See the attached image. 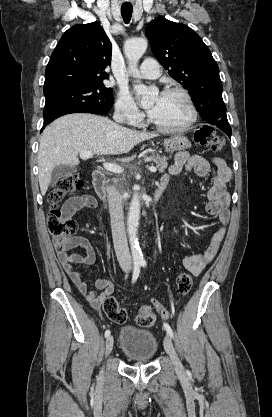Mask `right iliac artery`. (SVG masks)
<instances>
[{"mask_svg": "<svg viewBox=\"0 0 272 417\" xmlns=\"http://www.w3.org/2000/svg\"><path fill=\"white\" fill-rule=\"evenodd\" d=\"M140 274V263L134 264L133 276H132V284H134L139 277ZM110 335V330L105 331V337L107 338Z\"/></svg>", "mask_w": 272, "mask_h": 417, "instance_id": "82829eb1", "label": "right iliac artery"}]
</instances>
